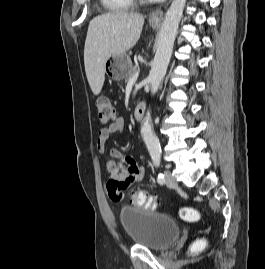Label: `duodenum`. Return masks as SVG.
Listing matches in <instances>:
<instances>
[{"instance_id": "1", "label": "duodenum", "mask_w": 265, "mask_h": 269, "mask_svg": "<svg viewBox=\"0 0 265 269\" xmlns=\"http://www.w3.org/2000/svg\"><path fill=\"white\" fill-rule=\"evenodd\" d=\"M145 112V104L143 102H140L136 105L134 109V117L137 120L142 119Z\"/></svg>"}]
</instances>
